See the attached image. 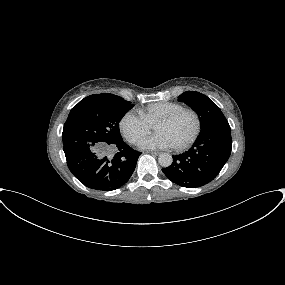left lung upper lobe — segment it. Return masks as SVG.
<instances>
[{"label": "left lung upper lobe", "mask_w": 285, "mask_h": 285, "mask_svg": "<svg viewBox=\"0 0 285 285\" xmlns=\"http://www.w3.org/2000/svg\"><path fill=\"white\" fill-rule=\"evenodd\" d=\"M178 100L189 105L198 114L201 130L211 126H229L219 107L204 94L186 91L178 97Z\"/></svg>", "instance_id": "left-lung-upper-lobe-1"}]
</instances>
